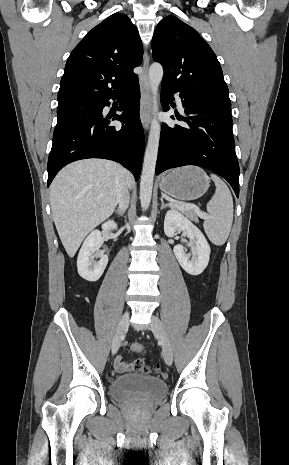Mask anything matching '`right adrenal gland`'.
<instances>
[{
	"label": "right adrenal gland",
	"mask_w": 289,
	"mask_h": 465,
	"mask_svg": "<svg viewBox=\"0 0 289 465\" xmlns=\"http://www.w3.org/2000/svg\"><path fill=\"white\" fill-rule=\"evenodd\" d=\"M115 213H116L118 216H122V215H123V212L120 211L119 209L115 210Z\"/></svg>",
	"instance_id": "obj_1"
}]
</instances>
